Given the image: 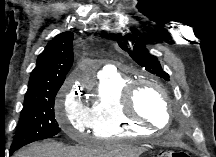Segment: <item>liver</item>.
Returning a JSON list of instances; mask_svg holds the SVG:
<instances>
[{"instance_id":"liver-1","label":"liver","mask_w":216,"mask_h":157,"mask_svg":"<svg viewBox=\"0 0 216 157\" xmlns=\"http://www.w3.org/2000/svg\"><path fill=\"white\" fill-rule=\"evenodd\" d=\"M143 148L116 142L95 143L90 147H65L57 142L37 143L15 157H138Z\"/></svg>"}]
</instances>
